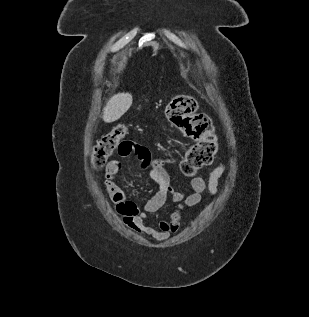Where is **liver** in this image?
I'll return each instance as SVG.
<instances>
[{"label": "liver", "instance_id": "1", "mask_svg": "<svg viewBox=\"0 0 309 317\" xmlns=\"http://www.w3.org/2000/svg\"><path fill=\"white\" fill-rule=\"evenodd\" d=\"M132 105L130 93H118L113 95L103 109V120L106 123L114 122L121 118Z\"/></svg>", "mask_w": 309, "mask_h": 317}]
</instances>
